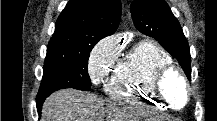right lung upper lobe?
Masks as SVG:
<instances>
[{
	"label": "right lung upper lobe",
	"instance_id": "right-lung-upper-lobe-1",
	"mask_svg": "<svg viewBox=\"0 0 217 121\" xmlns=\"http://www.w3.org/2000/svg\"><path fill=\"white\" fill-rule=\"evenodd\" d=\"M121 9L120 0H70L56 21L50 41H99L115 33Z\"/></svg>",
	"mask_w": 217,
	"mask_h": 121
}]
</instances>
